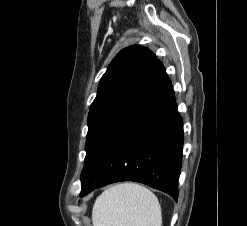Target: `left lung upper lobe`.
Listing matches in <instances>:
<instances>
[{"label": "left lung upper lobe", "mask_w": 247, "mask_h": 226, "mask_svg": "<svg viewBox=\"0 0 247 226\" xmlns=\"http://www.w3.org/2000/svg\"><path fill=\"white\" fill-rule=\"evenodd\" d=\"M155 61V54L142 46L127 47L112 60L100 80L97 96L90 107L86 153L126 103Z\"/></svg>", "instance_id": "1"}]
</instances>
